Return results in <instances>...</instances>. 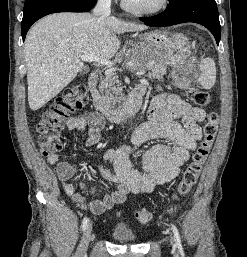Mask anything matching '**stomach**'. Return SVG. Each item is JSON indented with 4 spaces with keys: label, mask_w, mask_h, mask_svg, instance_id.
<instances>
[{
    "label": "stomach",
    "mask_w": 247,
    "mask_h": 257,
    "mask_svg": "<svg viewBox=\"0 0 247 257\" xmlns=\"http://www.w3.org/2000/svg\"><path fill=\"white\" fill-rule=\"evenodd\" d=\"M140 42L135 46L137 57L145 64L157 62L175 67L190 55L187 38L168 31H150L139 35Z\"/></svg>",
    "instance_id": "0dacf381"
}]
</instances>
